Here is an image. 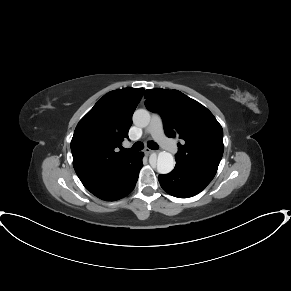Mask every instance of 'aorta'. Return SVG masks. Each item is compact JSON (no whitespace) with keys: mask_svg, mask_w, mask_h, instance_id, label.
I'll list each match as a JSON object with an SVG mask.
<instances>
[{"mask_svg":"<svg viewBox=\"0 0 291 291\" xmlns=\"http://www.w3.org/2000/svg\"><path fill=\"white\" fill-rule=\"evenodd\" d=\"M150 113L145 109H138L133 114V122L138 127H146L150 123ZM175 166V160L171 153L159 152L157 158V171L160 174L170 173Z\"/></svg>","mask_w":291,"mask_h":291,"instance_id":"1","label":"aorta"}]
</instances>
